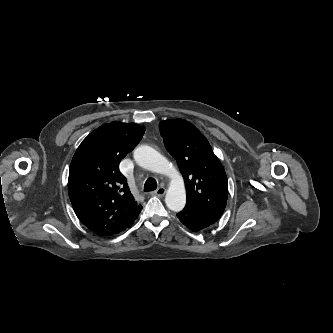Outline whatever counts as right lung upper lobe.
Wrapping results in <instances>:
<instances>
[{"mask_svg":"<svg viewBox=\"0 0 333 333\" xmlns=\"http://www.w3.org/2000/svg\"><path fill=\"white\" fill-rule=\"evenodd\" d=\"M145 127L113 121L90 133L76 150L69 172L68 193L79 220L106 236L128 228L142 206L135 202L120 161L144 135Z\"/></svg>","mask_w":333,"mask_h":333,"instance_id":"cb5924a9","label":"right lung upper lobe"}]
</instances>
